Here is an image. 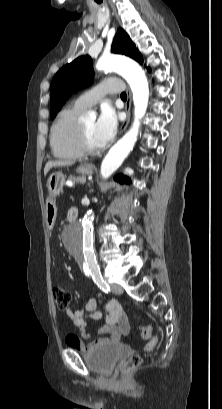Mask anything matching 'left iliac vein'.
<instances>
[{"label": "left iliac vein", "mask_w": 222, "mask_h": 409, "mask_svg": "<svg viewBox=\"0 0 222 409\" xmlns=\"http://www.w3.org/2000/svg\"><path fill=\"white\" fill-rule=\"evenodd\" d=\"M110 291L114 294H122L123 293V288L120 284L117 283H112L110 285Z\"/></svg>", "instance_id": "4c4485c4"}]
</instances>
